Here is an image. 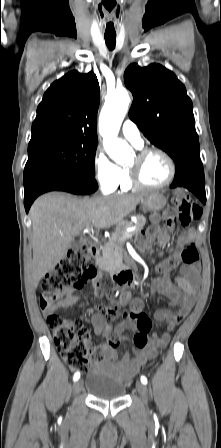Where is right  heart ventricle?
<instances>
[{"label":"right heart ventricle","mask_w":221,"mask_h":448,"mask_svg":"<svg viewBox=\"0 0 221 448\" xmlns=\"http://www.w3.org/2000/svg\"><path fill=\"white\" fill-rule=\"evenodd\" d=\"M121 169H122V176L118 188L121 191L126 192L133 189L134 186L130 182L128 169L127 168H121Z\"/></svg>","instance_id":"e07e8e85"}]
</instances>
